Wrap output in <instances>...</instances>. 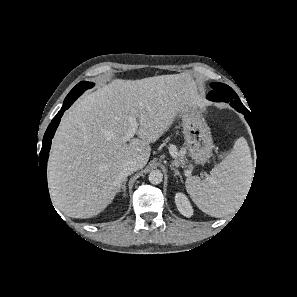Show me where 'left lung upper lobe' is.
I'll list each match as a JSON object with an SVG mask.
<instances>
[{
  "label": "left lung upper lobe",
  "instance_id": "5c2ea615",
  "mask_svg": "<svg viewBox=\"0 0 297 297\" xmlns=\"http://www.w3.org/2000/svg\"><path fill=\"white\" fill-rule=\"evenodd\" d=\"M212 91L209 92L207 98L212 101L227 102L233 108L247 109L240 101L235 91L223 83H211Z\"/></svg>",
  "mask_w": 297,
  "mask_h": 297
}]
</instances>
